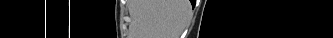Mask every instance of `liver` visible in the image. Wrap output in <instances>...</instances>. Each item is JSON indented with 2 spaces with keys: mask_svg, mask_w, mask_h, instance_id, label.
Here are the masks:
<instances>
[{
  "mask_svg": "<svg viewBox=\"0 0 333 38\" xmlns=\"http://www.w3.org/2000/svg\"><path fill=\"white\" fill-rule=\"evenodd\" d=\"M191 16L189 0H137V38H179Z\"/></svg>",
  "mask_w": 333,
  "mask_h": 38,
  "instance_id": "6515ba94",
  "label": "liver"
}]
</instances>
